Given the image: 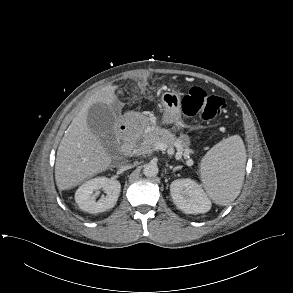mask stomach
<instances>
[{
    "label": "stomach",
    "mask_w": 293,
    "mask_h": 293,
    "mask_svg": "<svg viewBox=\"0 0 293 293\" xmlns=\"http://www.w3.org/2000/svg\"><path fill=\"white\" fill-rule=\"evenodd\" d=\"M162 123L172 124L181 120V96L177 91L164 92L161 95Z\"/></svg>",
    "instance_id": "0dacf381"
}]
</instances>
